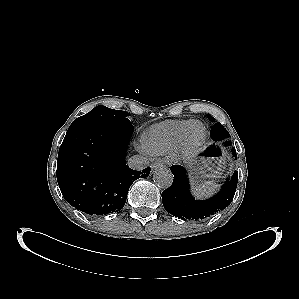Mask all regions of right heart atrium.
<instances>
[{
	"label": "right heart atrium",
	"mask_w": 299,
	"mask_h": 299,
	"mask_svg": "<svg viewBox=\"0 0 299 299\" xmlns=\"http://www.w3.org/2000/svg\"><path fill=\"white\" fill-rule=\"evenodd\" d=\"M143 147H144L145 151L149 152V151L147 150V148L145 147V145H144Z\"/></svg>",
	"instance_id": "obj_1"
}]
</instances>
